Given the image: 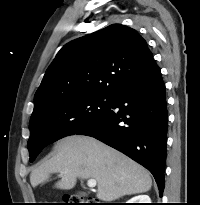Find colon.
I'll return each instance as SVG.
<instances>
[{
	"label": "colon",
	"instance_id": "obj_1",
	"mask_svg": "<svg viewBox=\"0 0 200 205\" xmlns=\"http://www.w3.org/2000/svg\"><path fill=\"white\" fill-rule=\"evenodd\" d=\"M67 205H81L80 198L75 196H70L65 199Z\"/></svg>",
	"mask_w": 200,
	"mask_h": 205
}]
</instances>
